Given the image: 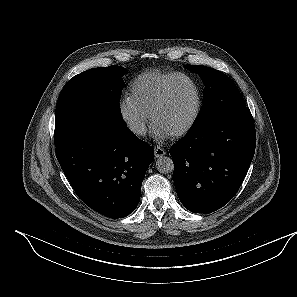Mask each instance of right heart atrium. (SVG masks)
<instances>
[{
  "label": "right heart atrium",
  "mask_w": 297,
  "mask_h": 297,
  "mask_svg": "<svg viewBox=\"0 0 297 297\" xmlns=\"http://www.w3.org/2000/svg\"><path fill=\"white\" fill-rule=\"evenodd\" d=\"M118 109L123 123L134 136L142 137L146 134L148 115L130 97H124L120 101Z\"/></svg>",
  "instance_id": "obj_1"
}]
</instances>
